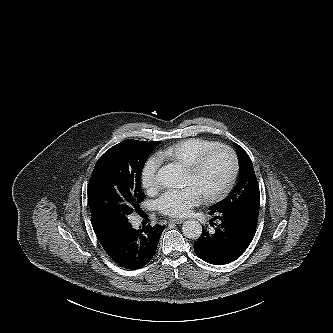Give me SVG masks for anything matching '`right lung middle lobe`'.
I'll return each instance as SVG.
<instances>
[{
    "label": "right lung middle lobe",
    "mask_w": 333,
    "mask_h": 333,
    "mask_svg": "<svg viewBox=\"0 0 333 333\" xmlns=\"http://www.w3.org/2000/svg\"><path fill=\"white\" fill-rule=\"evenodd\" d=\"M158 144L124 140L98 159L87 191L93 229L122 227L129 214L139 211L142 168Z\"/></svg>",
    "instance_id": "obj_1"
}]
</instances>
